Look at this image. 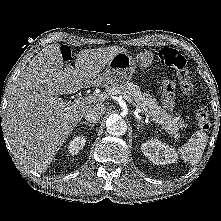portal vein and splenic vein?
Returning a JSON list of instances; mask_svg holds the SVG:
<instances>
[{"label":"portal vein and splenic vein","mask_w":221,"mask_h":221,"mask_svg":"<svg viewBox=\"0 0 221 221\" xmlns=\"http://www.w3.org/2000/svg\"><path fill=\"white\" fill-rule=\"evenodd\" d=\"M105 98H106V96L104 95V94H95V95H89L88 97H85V98H83L81 101H76L75 103H74V105L76 106V105H78V104H80V103H84V102H90V103H92V102H95V101H103V100H105ZM123 98L129 103V104H132V105H134V101L131 99V97L130 96H128V95H123ZM144 113L141 109H139V108H136L135 109V111H134V114L137 116V118H141V117H139V113ZM145 115H146V119L148 120V117H149V115L147 114V113H145Z\"/></svg>","instance_id":"portal-vein-and-splenic-vein-1"}]
</instances>
